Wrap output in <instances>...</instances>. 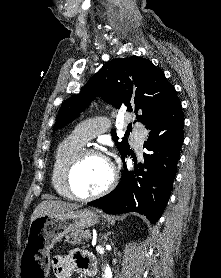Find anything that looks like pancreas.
<instances>
[{
  "instance_id": "1",
  "label": "pancreas",
  "mask_w": 221,
  "mask_h": 278,
  "mask_svg": "<svg viewBox=\"0 0 221 278\" xmlns=\"http://www.w3.org/2000/svg\"><path fill=\"white\" fill-rule=\"evenodd\" d=\"M91 238L89 230L74 232L66 237V241L71 244H83V240L88 241Z\"/></svg>"
}]
</instances>
